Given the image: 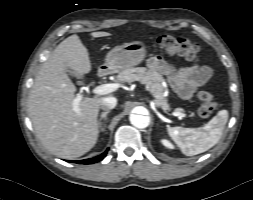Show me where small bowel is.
Here are the masks:
<instances>
[{
    "instance_id": "1",
    "label": "small bowel",
    "mask_w": 253,
    "mask_h": 200,
    "mask_svg": "<svg viewBox=\"0 0 253 200\" xmlns=\"http://www.w3.org/2000/svg\"><path fill=\"white\" fill-rule=\"evenodd\" d=\"M150 69L171 72V67L159 57H151L147 60ZM212 71L209 66H188L182 68L177 76L176 83L179 87V93L183 98H190L201 86L211 77Z\"/></svg>"
}]
</instances>
